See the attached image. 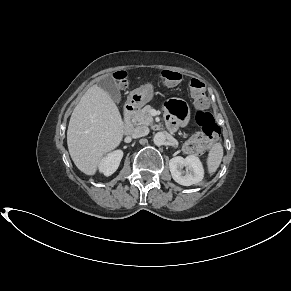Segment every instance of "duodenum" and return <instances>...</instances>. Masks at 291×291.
<instances>
[{
  "instance_id": "1",
  "label": "duodenum",
  "mask_w": 291,
  "mask_h": 291,
  "mask_svg": "<svg viewBox=\"0 0 291 291\" xmlns=\"http://www.w3.org/2000/svg\"><path fill=\"white\" fill-rule=\"evenodd\" d=\"M137 111V106L134 103H128L124 109V130L129 133L132 130V118Z\"/></svg>"
}]
</instances>
